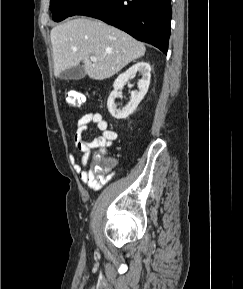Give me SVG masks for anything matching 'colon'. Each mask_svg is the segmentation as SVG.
<instances>
[{"instance_id":"5ec220e1","label":"colon","mask_w":243,"mask_h":289,"mask_svg":"<svg viewBox=\"0 0 243 289\" xmlns=\"http://www.w3.org/2000/svg\"><path fill=\"white\" fill-rule=\"evenodd\" d=\"M84 94L78 90H70L66 93V101L69 106H80L85 102ZM113 160L105 156V154L98 153L94 157V170L99 173H106L113 167Z\"/></svg>"}]
</instances>
